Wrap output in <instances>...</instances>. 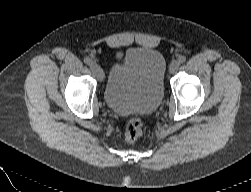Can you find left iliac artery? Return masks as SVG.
<instances>
[{
    "label": "left iliac artery",
    "mask_w": 251,
    "mask_h": 192,
    "mask_svg": "<svg viewBox=\"0 0 251 192\" xmlns=\"http://www.w3.org/2000/svg\"><path fill=\"white\" fill-rule=\"evenodd\" d=\"M186 61V57L185 56H179V58H178V63L179 64H182V63H184Z\"/></svg>",
    "instance_id": "1"
}]
</instances>
